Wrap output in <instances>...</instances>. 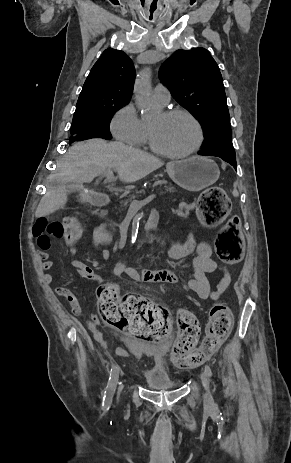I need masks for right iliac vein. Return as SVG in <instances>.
<instances>
[{"label":"right iliac vein","mask_w":291,"mask_h":463,"mask_svg":"<svg viewBox=\"0 0 291 463\" xmlns=\"http://www.w3.org/2000/svg\"><path fill=\"white\" fill-rule=\"evenodd\" d=\"M120 391H121V388L119 387V388H118V391H117V397L119 396Z\"/></svg>","instance_id":"1"}]
</instances>
